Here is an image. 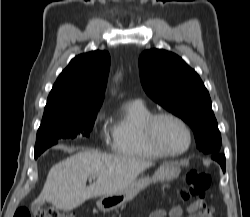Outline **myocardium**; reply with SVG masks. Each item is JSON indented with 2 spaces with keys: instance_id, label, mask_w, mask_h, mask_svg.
<instances>
[{
  "instance_id": "obj_1",
  "label": "myocardium",
  "mask_w": 250,
  "mask_h": 217,
  "mask_svg": "<svg viewBox=\"0 0 250 217\" xmlns=\"http://www.w3.org/2000/svg\"><path fill=\"white\" fill-rule=\"evenodd\" d=\"M163 119L172 120L178 123L186 132L187 135V145L184 149L179 151H171L166 149L158 140L157 137V125L159 121ZM144 135L146 137L147 142L149 145L156 150L160 155L163 157H173V156H180L186 153L192 144V133L188 126V124L179 116L170 113V112H157L153 113L147 120L144 122L143 125Z\"/></svg>"
}]
</instances>
